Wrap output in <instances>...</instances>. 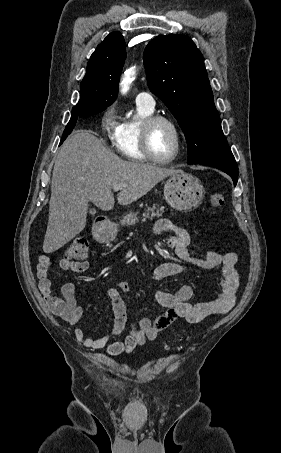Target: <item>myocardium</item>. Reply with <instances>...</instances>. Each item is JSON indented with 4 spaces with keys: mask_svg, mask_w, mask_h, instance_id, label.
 I'll use <instances>...</instances> for the list:
<instances>
[{
    "mask_svg": "<svg viewBox=\"0 0 281 453\" xmlns=\"http://www.w3.org/2000/svg\"><path fill=\"white\" fill-rule=\"evenodd\" d=\"M161 123H164L171 129V131L174 135V138H175L172 154L168 158H164V159L159 158L155 154L154 149H153V144H152L154 130ZM181 141H182L181 132H180L178 126L176 125V123L173 120H171L170 118H167V117L161 116V115H154V116L147 118L143 122L142 136H141L142 150H143V153L152 161L160 163V164H168V163L173 162L178 156L180 146H181Z\"/></svg>",
    "mask_w": 281,
    "mask_h": 453,
    "instance_id": "obj_1",
    "label": "myocardium"
}]
</instances>
